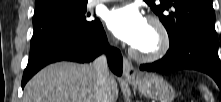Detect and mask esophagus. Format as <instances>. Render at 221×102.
<instances>
[{
	"mask_svg": "<svg viewBox=\"0 0 221 102\" xmlns=\"http://www.w3.org/2000/svg\"><path fill=\"white\" fill-rule=\"evenodd\" d=\"M123 77L131 80L138 77V72L126 57L123 58Z\"/></svg>",
	"mask_w": 221,
	"mask_h": 102,
	"instance_id": "1",
	"label": "esophagus"
}]
</instances>
